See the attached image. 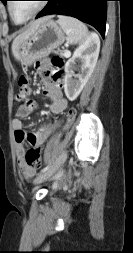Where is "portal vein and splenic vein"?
<instances>
[{"label":"portal vein and splenic vein","instance_id":"18ae733b","mask_svg":"<svg viewBox=\"0 0 133 253\" xmlns=\"http://www.w3.org/2000/svg\"><path fill=\"white\" fill-rule=\"evenodd\" d=\"M69 55H70V52H69V51H65V52H64V56H65V57H68Z\"/></svg>","mask_w":133,"mask_h":253}]
</instances>
